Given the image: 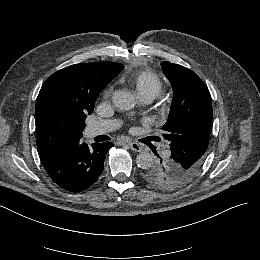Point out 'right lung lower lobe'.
<instances>
[{"label": "right lung lower lobe", "instance_id": "right-lung-lower-lobe-1", "mask_svg": "<svg viewBox=\"0 0 260 260\" xmlns=\"http://www.w3.org/2000/svg\"><path fill=\"white\" fill-rule=\"evenodd\" d=\"M112 146L111 142H104L93 143L89 147L80 141L67 147L44 168L59 187L70 192H79L98 180L104 169L105 155Z\"/></svg>", "mask_w": 260, "mask_h": 260}]
</instances>
